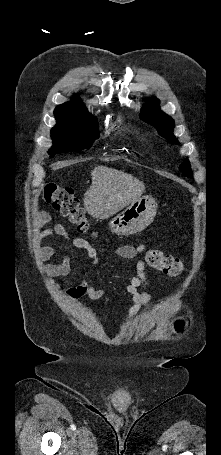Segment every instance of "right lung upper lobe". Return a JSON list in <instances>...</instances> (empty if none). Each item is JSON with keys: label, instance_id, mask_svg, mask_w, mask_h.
Masks as SVG:
<instances>
[{"label": "right lung upper lobe", "instance_id": "1", "mask_svg": "<svg viewBox=\"0 0 221 455\" xmlns=\"http://www.w3.org/2000/svg\"><path fill=\"white\" fill-rule=\"evenodd\" d=\"M56 119L70 120L77 122H87L94 119L85 109L83 104L78 98L71 102H66L56 107L54 110Z\"/></svg>", "mask_w": 221, "mask_h": 455}]
</instances>
